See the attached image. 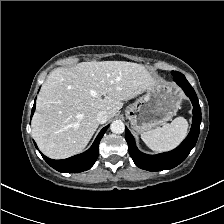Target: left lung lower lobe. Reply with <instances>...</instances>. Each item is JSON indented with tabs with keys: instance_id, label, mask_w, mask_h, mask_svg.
I'll list each match as a JSON object with an SVG mask.
<instances>
[{
	"instance_id": "0a47b994",
	"label": "left lung lower lobe",
	"mask_w": 224,
	"mask_h": 224,
	"mask_svg": "<svg viewBox=\"0 0 224 224\" xmlns=\"http://www.w3.org/2000/svg\"><path fill=\"white\" fill-rule=\"evenodd\" d=\"M174 81L184 90L193 104V123L190 133L176 149L158 155H147L137 149L133 136L125 128V139L128 143L130 156L141 169L148 171L172 169L185 160L197 142L201 123V108L197 95L183 74L179 73V75L175 76Z\"/></svg>"
}]
</instances>
